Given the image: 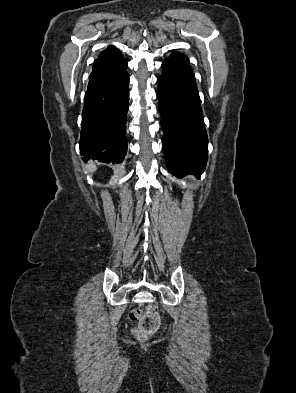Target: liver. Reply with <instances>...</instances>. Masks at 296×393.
I'll return each mask as SVG.
<instances>
[{"mask_svg": "<svg viewBox=\"0 0 296 393\" xmlns=\"http://www.w3.org/2000/svg\"><path fill=\"white\" fill-rule=\"evenodd\" d=\"M88 169H89L90 172H93V171L96 170V166H95L93 163H90V164L88 165Z\"/></svg>", "mask_w": 296, "mask_h": 393, "instance_id": "obj_1", "label": "liver"}]
</instances>
